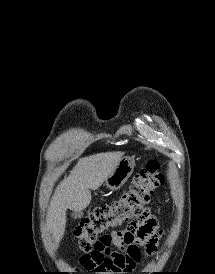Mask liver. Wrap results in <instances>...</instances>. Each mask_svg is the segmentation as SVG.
<instances>
[{
    "label": "liver",
    "mask_w": 215,
    "mask_h": 274,
    "mask_svg": "<svg viewBox=\"0 0 215 274\" xmlns=\"http://www.w3.org/2000/svg\"><path fill=\"white\" fill-rule=\"evenodd\" d=\"M123 158L122 152H107L81 158L68 177L56 187L47 211V226L57 249L66 226V211H82L91 202L90 190H97Z\"/></svg>",
    "instance_id": "obj_1"
}]
</instances>
